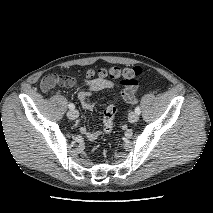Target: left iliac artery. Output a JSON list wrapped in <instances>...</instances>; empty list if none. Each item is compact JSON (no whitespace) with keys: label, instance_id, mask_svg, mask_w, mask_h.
Returning <instances> with one entry per match:
<instances>
[{"label":"left iliac artery","instance_id":"left-iliac-artery-1","mask_svg":"<svg viewBox=\"0 0 213 213\" xmlns=\"http://www.w3.org/2000/svg\"><path fill=\"white\" fill-rule=\"evenodd\" d=\"M135 112H136L138 115L141 113V109H140L139 106H137V107L135 108Z\"/></svg>","mask_w":213,"mask_h":213}]
</instances>
